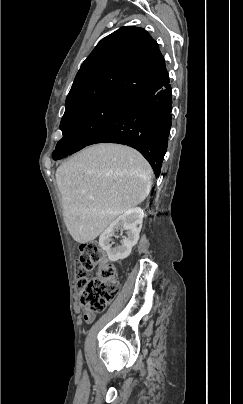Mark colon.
<instances>
[{"label":"colon","mask_w":243,"mask_h":404,"mask_svg":"<svg viewBox=\"0 0 243 404\" xmlns=\"http://www.w3.org/2000/svg\"><path fill=\"white\" fill-rule=\"evenodd\" d=\"M77 277L81 301L90 312H102L118 294L117 269L95 241L80 245Z\"/></svg>","instance_id":"1"}]
</instances>
